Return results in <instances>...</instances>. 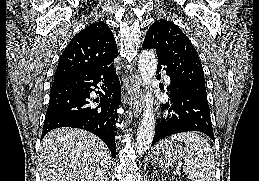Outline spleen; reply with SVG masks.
<instances>
[{
    "mask_svg": "<svg viewBox=\"0 0 259 181\" xmlns=\"http://www.w3.org/2000/svg\"><path fill=\"white\" fill-rule=\"evenodd\" d=\"M171 140L184 142V172L190 181H215V160L207 140L194 132L172 135Z\"/></svg>",
    "mask_w": 259,
    "mask_h": 181,
    "instance_id": "spleen-1",
    "label": "spleen"
}]
</instances>
